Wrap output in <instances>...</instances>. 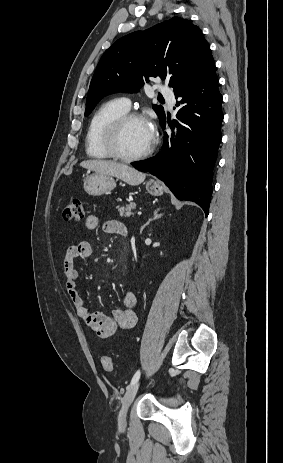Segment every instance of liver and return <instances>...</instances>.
I'll use <instances>...</instances> for the list:
<instances>
[{
    "label": "liver",
    "instance_id": "6515ba94",
    "mask_svg": "<svg viewBox=\"0 0 283 463\" xmlns=\"http://www.w3.org/2000/svg\"><path fill=\"white\" fill-rule=\"evenodd\" d=\"M80 166L94 171L96 174L117 177L132 186L141 184L146 178L144 173H141L124 163H118L115 161L99 159L87 160L82 161Z\"/></svg>",
    "mask_w": 283,
    "mask_h": 463
}]
</instances>
